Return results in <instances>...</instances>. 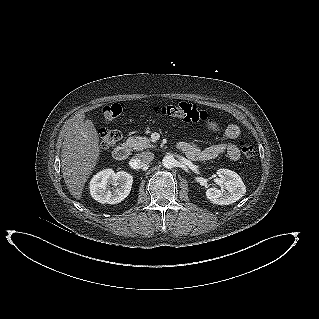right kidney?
<instances>
[{"instance_id": "right-kidney-1", "label": "right kidney", "mask_w": 319, "mask_h": 319, "mask_svg": "<svg viewBox=\"0 0 319 319\" xmlns=\"http://www.w3.org/2000/svg\"><path fill=\"white\" fill-rule=\"evenodd\" d=\"M132 183L133 177L127 172L115 173L112 169H104L93 176L89 189L91 196L97 202L116 204L129 195Z\"/></svg>"}]
</instances>
